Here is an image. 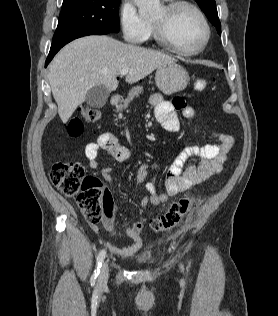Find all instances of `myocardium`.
Masks as SVG:
<instances>
[{
	"label": "myocardium",
	"mask_w": 278,
	"mask_h": 316,
	"mask_svg": "<svg viewBox=\"0 0 278 316\" xmlns=\"http://www.w3.org/2000/svg\"><path fill=\"white\" fill-rule=\"evenodd\" d=\"M181 7H189L192 9L199 19L201 20L204 29H205V38L202 42V44L193 50H186L182 47H180L171 36L169 29H168V18L179 8ZM165 13H166V19L162 21H153L151 22L152 30H153V36L154 38L162 45L170 48L174 52L184 55V56H194L198 55L201 52L205 50L207 47L210 38H211V26L210 23L202 11V9L196 5L194 2L189 0H170L169 3L163 6Z\"/></svg>",
	"instance_id": "obj_1"
}]
</instances>
